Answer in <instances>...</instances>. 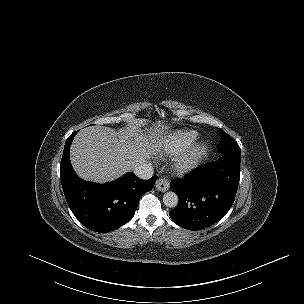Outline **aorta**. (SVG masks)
<instances>
[{"label": "aorta", "instance_id": "762f6f07", "mask_svg": "<svg viewBox=\"0 0 304 304\" xmlns=\"http://www.w3.org/2000/svg\"><path fill=\"white\" fill-rule=\"evenodd\" d=\"M178 196L173 191L166 192L163 195V203L166 207L175 208L178 205Z\"/></svg>", "mask_w": 304, "mask_h": 304}]
</instances>
